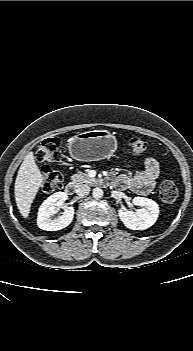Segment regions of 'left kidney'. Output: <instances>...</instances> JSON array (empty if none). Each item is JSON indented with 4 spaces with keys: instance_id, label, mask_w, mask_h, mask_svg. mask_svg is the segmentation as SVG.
<instances>
[{
    "instance_id": "5707ae66",
    "label": "left kidney",
    "mask_w": 193,
    "mask_h": 351,
    "mask_svg": "<svg viewBox=\"0 0 193 351\" xmlns=\"http://www.w3.org/2000/svg\"><path fill=\"white\" fill-rule=\"evenodd\" d=\"M132 202L141 208L135 211H129L126 208L119 209L118 215L123 224L132 230H144L151 227L159 215L158 204L145 197H135Z\"/></svg>"
}]
</instances>
